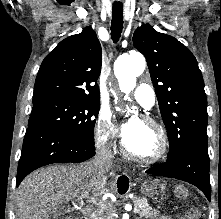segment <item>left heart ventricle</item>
<instances>
[{
    "mask_svg": "<svg viewBox=\"0 0 221 219\" xmlns=\"http://www.w3.org/2000/svg\"><path fill=\"white\" fill-rule=\"evenodd\" d=\"M135 127L125 144L129 151L140 156L148 157L153 155L159 146V137L154 128L141 121H134Z\"/></svg>",
    "mask_w": 221,
    "mask_h": 219,
    "instance_id": "1",
    "label": "left heart ventricle"
}]
</instances>
